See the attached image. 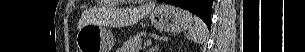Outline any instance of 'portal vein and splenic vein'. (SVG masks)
<instances>
[{
    "instance_id": "1",
    "label": "portal vein and splenic vein",
    "mask_w": 305,
    "mask_h": 52,
    "mask_svg": "<svg viewBox=\"0 0 305 52\" xmlns=\"http://www.w3.org/2000/svg\"><path fill=\"white\" fill-rule=\"evenodd\" d=\"M152 44V41L151 40H147L146 42H145V45L146 46H150Z\"/></svg>"
}]
</instances>
